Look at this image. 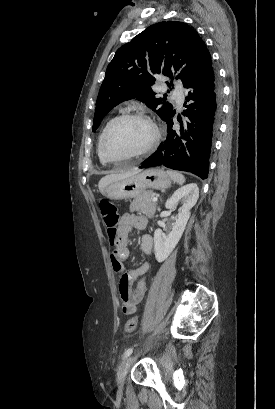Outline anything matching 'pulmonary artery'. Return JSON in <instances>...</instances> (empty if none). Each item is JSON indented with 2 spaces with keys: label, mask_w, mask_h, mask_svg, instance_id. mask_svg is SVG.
I'll return each instance as SVG.
<instances>
[{
  "label": "pulmonary artery",
  "mask_w": 275,
  "mask_h": 409,
  "mask_svg": "<svg viewBox=\"0 0 275 409\" xmlns=\"http://www.w3.org/2000/svg\"><path fill=\"white\" fill-rule=\"evenodd\" d=\"M175 98H176L177 104H178L179 106H181L182 103H183V101H184V96H183V94H182V93H178V94H176Z\"/></svg>",
  "instance_id": "obj_1"
}]
</instances>
